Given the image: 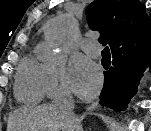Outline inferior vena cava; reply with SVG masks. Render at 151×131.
I'll return each mask as SVG.
<instances>
[{"mask_svg": "<svg viewBox=\"0 0 151 131\" xmlns=\"http://www.w3.org/2000/svg\"><path fill=\"white\" fill-rule=\"evenodd\" d=\"M53 103L56 107L68 113H71L74 107L70 92L65 89L62 90L61 93L54 98Z\"/></svg>", "mask_w": 151, "mask_h": 131, "instance_id": "1", "label": "inferior vena cava"}]
</instances>
